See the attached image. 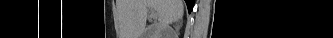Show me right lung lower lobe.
<instances>
[{
	"mask_svg": "<svg viewBox=\"0 0 333 38\" xmlns=\"http://www.w3.org/2000/svg\"><path fill=\"white\" fill-rule=\"evenodd\" d=\"M187 3L188 10L191 11L193 7V0H185Z\"/></svg>",
	"mask_w": 333,
	"mask_h": 38,
	"instance_id": "obj_1",
	"label": "right lung lower lobe"
}]
</instances>
